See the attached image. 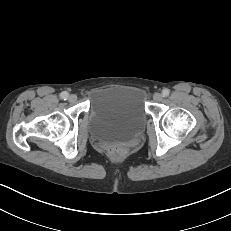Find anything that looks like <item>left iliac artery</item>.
<instances>
[{
    "mask_svg": "<svg viewBox=\"0 0 231 231\" xmlns=\"http://www.w3.org/2000/svg\"><path fill=\"white\" fill-rule=\"evenodd\" d=\"M169 94H170V90L169 89L165 88V89L162 90L163 97H167V96H169Z\"/></svg>",
    "mask_w": 231,
    "mask_h": 231,
    "instance_id": "obj_1",
    "label": "left iliac artery"
}]
</instances>
